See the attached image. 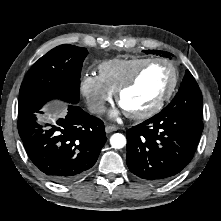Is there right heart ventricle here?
Wrapping results in <instances>:
<instances>
[{
    "label": "right heart ventricle",
    "mask_w": 221,
    "mask_h": 221,
    "mask_svg": "<svg viewBox=\"0 0 221 221\" xmlns=\"http://www.w3.org/2000/svg\"><path fill=\"white\" fill-rule=\"evenodd\" d=\"M149 58H114L103 61L98 66L99 77L103 83L114 93L118 87L128 79L134 71Z\"/></svg>",
    "instance_id": "right-heart-ventricle-1"
}]
</instances>
